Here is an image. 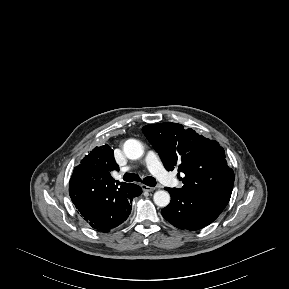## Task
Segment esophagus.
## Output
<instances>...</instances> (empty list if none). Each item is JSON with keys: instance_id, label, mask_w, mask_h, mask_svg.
Masks as SVG:
<instances>
[{"instance_id": "esophagus-1", "label": "esophagus", "mask_w": 289, "mask_h": 289, "mask_svg": "<svg viewBox=\"0 0 289 289\" xmlns=\"http://www.w3.org/2000/svg\"><path fill=\"white\" fill-rule=\"evenodd\" d=\"M142 190L147 191V192H153L155 190L154 187H149L147 185L142 184L141 185Z\"/></svg>"}]
</instances>
